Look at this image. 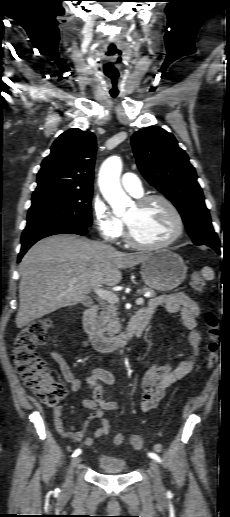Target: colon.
<instances>
[{
	"mask_svg": "<svg viewBox=\"0 0 230 517\" xmlns=\"http://www.w3.org/2000/svg\"><path fill=\"white\" fill-rule=\"evenodd\" d=\"M191 287L198 293L206 291V282L200 274H194L191 278ZM207 327V354L204 368L211 370L217 360L220 335L219 318L214 312H207L204 316ZM50 322L46 319H38L29 323L15 336L13 342V363L21 376L25 386L45 405L54 407L66 395L65 386L55 380L50 374L47 362L36 353V347L49 340ZM116 441L120 438L115 437ZM130 444L135 449H142L144 442L138 435H132Z\"/></svg>",
	"mask_w": 230,
	"mask_h": 517,
	"instance_id": "1",
	"label": "colon"
}]
</instances>
